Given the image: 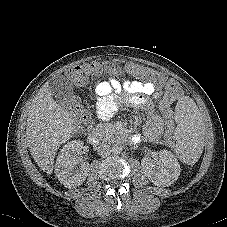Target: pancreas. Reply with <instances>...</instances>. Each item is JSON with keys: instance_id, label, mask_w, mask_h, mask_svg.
Listing matches in <instances>:
<instances>
[{"instance_id": "1", "label": "pancreas", "mask_w": 227, "mask_h": 227, "mask_svg": "<svg viewBox=\"0 0 227 227\" xmlns=\"http://www.w3.org/2000/svg\"><path fill=\"white\" fill-rule=\"evenodd\" d=\"M111 126H104L102 124H99L96 126L95 130H94V134L100 136V137H107L111 134Z\"/></svg>"}]
</instances>
